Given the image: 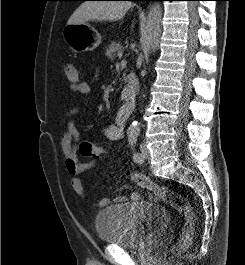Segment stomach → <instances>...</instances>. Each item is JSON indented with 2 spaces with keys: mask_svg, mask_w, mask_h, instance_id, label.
<instances>
[{
  "mask_svg": "<svg viewBox=\"0 0 245 265\" xmlns=\"http://www.w3.org/2000/svg\"><path fill=\"white\" fill-rule=\"evenodd\" d=\"M62 35L64 41L75 53L92 51L101 43L99 32L87 23L67 24Z\"/></svg>",
  "mask_w": 245,
  "mask_h": 265,
  "instance_id": "stomach-1",
  "label": "stomach"
}]
</instances>
